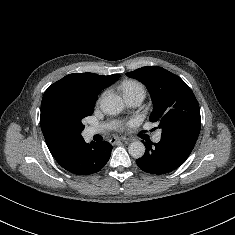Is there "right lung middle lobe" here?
I'll return each instance as SVG.
<instances>
[{"label": "right lung middle lobe", "mask_w": 235, "mask_h": 235, "mask_svg": "<svg viewBox=\"0 0 235 235\" xmlns=\"http://www.w3.org/2000/svg\"><path fill=\"white\" fill-rule=\"evenodd\" d=\"M96 99L78 95L57 99L49 109L47 120L52 132L63 141L81 138L82 120L92 115Z\"/></svg>", "instance_id": "obj_1"}]
</instances>
